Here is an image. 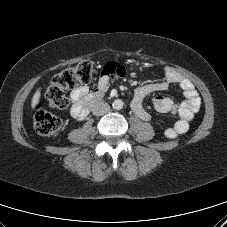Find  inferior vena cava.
I'll use <instances>...</instances> for the list:
<instances>
[{
	"mask_svg": "<svg viewBox=\"0 0 227 227\" xmlns=\"http://www.w3.org/2000/svg\"><path fill=\"white\" fill-rule=\"evenodd\" d=\"M110 111V105L106 102H97L92 107V113L95 116H102Z\"/></svg>",
	"mask_w": 227,
	"mask_h": 227,
	"instance_id": "1",
	"label": "inferior vena cava"
}]
</instances>
